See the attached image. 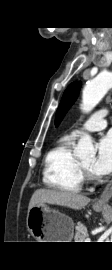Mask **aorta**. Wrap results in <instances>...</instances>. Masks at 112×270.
I'll list each match as a JSON object with an SVG mask.
<instances>
[{
    "instance_id": "762f6f07",
    "label": "aorta",
    "mask_w": 112,
    "mask_h": 270,
    "mask_svg": "<svg viewBox=\"0 0 112 270\" xmlns=\"http://www.w3.org/2000/svg\"><path fill=\"white\" fill-rule=\"evenodd\" d=\"M112 88V73H101L86 84L82 93L81 109L90 112ZM75 155L80 159L93 158L96 150L92 144V138L83 134L74 150ZM112 241V236H111Z\"/></svg>"
}]
</instances>
